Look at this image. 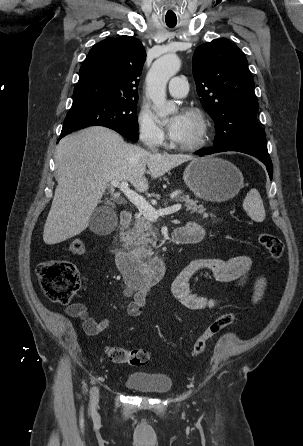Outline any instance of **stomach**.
Instances as JSON below:
<instances>
[{"label": "stomach", "mask_w": 303, "mask_h": 446, "mask_svg": "<svg viewBox=\"0 0 303 446\" xmlns=\"http://www.w3.org/2000/svg\"><path fill=\"white\" fill-rule=\"evenodd\" d=\"M183 179L198 198L211 202L227 201L243 187L241 171L229 161L215 157L192 160Z\"/></svg>", "instance_id": "1"}]
</instances>
